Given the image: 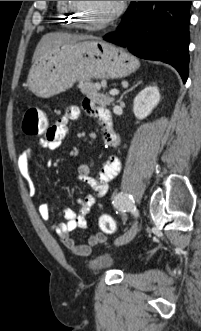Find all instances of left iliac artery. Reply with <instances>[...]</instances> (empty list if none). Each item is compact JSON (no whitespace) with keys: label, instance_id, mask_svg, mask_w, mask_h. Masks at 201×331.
<instances>
[{"label":"left iliac artery","instance_id":"1","mask_svg":"<svg viewBox=\"0 0 201 331\" xmlns=\"http://www.w3.org/2000/svg\"><path fill=\"white\" fill-rule=\"evenodd\" d=\"M115 208L119 211L125 213L127 211L131 212L133 215L138 216V210L135 206L134 201L132 200L131 195L127 194H118L115 197V201L113 202Z\"/></svg>","mask_w":201,"mask_h":331}]
</instances>
